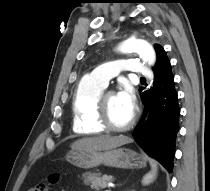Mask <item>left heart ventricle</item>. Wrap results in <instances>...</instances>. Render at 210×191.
<instances>
[{
	"label": "left heart ventricle",
	"instance_id": "left-heart-ventricle-1",
	"mask_svg": "<svg viewBox=\"0 0 210 191\" xmlns=\"http://www.w3.org/2000/svg\"><path fill=\"white\" fill-rule=\"evenodd\" d=\"M108 115L111 123L115 126H124L131 119L132 112L127 110L114 93L108 94L106 97Z\"/></svg>",
	"mask_w": 210,
	"mask_h": 191
}]
</instances>
